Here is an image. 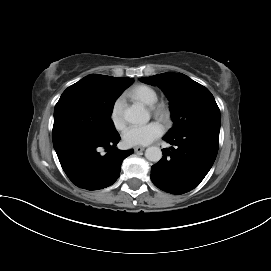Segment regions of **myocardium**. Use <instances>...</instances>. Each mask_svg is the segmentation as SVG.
<instances>
[{
	"instance_id": "1",
	"label": "myocardium",
	"mask_w": 271,
	"mask_h": 271,
	"mask_svg": "<svg viewBox=\"0 0 271 271\" xmlns=\"http://www.w3.org/2000/svg\"><path fill=\"white\" fill-rule=\"evenodd\" d=\"M151 109L153 114L162 121L167 122L169 120L170 112L168 107L165 106L164 104L153 105Z\"/></svg>"
}]
</instances>
